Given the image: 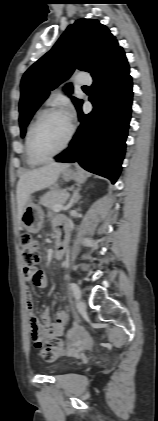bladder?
I'll list each match as a JSON object with an SVG mask.
<instances>
[{
  "instance_id": "bladder-1",
  "label": "bladder",
  "mask_w": 158,
  "mask_h": 421,
  "mask_svg": "<svg viewBox=\"0 0 158 421\" xmlns=\"http://www.w3.org/2000/svg\"><path fill=\"white\" fill-rule=\"evenodd\" d=\"M66 367H67V365L65 363H58V364H55L52 367V370L54 372H60V371L64 370Z\"/></svg>"
}]
</instances>
